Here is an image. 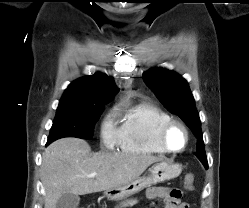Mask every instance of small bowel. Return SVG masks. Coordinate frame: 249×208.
<instances>
[{"mask_svg":"<svg viewBox=\"0 0 249 208\" xmlns=\"http://www.w3.org/2000/svg\"><path fill=\"white\" fill-rule=\"evenodd\" d=\"M147 195L153 201L164 200L165 208H188V205L181 201V192L176 188L153 186L147 190Z\"/></svg>","mask_w":249,"mask_h":208,"instance_id":"1","label":"small bowel"}]
</instances>
